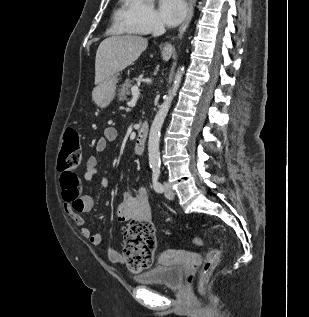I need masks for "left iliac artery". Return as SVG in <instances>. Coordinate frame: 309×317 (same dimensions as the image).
<instances>
[{
  "label": "left iliac artery",
  "instance_id": "1",
  "mask_svg": "<svg viewBox=\"0 0 309 317\" xmlns=\"http://www.w3.org/2000/svg\"><path fill=\"white\" fill-rule=\"evenodd\" d=\"M152 169H153V173H152L153 188L156 192L162 193L164 189L162 184L158 181L160 176V165H154Z\"/></svg>",
  "mask_w": 309,
  "mask_h": 317
}]
</instances>
